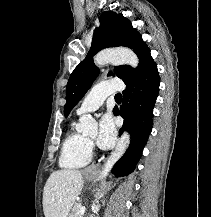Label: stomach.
I'll return each instance as SVG.
<instances>
[{"mask_svg":"<svg viewBox=\"0 0 211 217\" xmlns=\"http://www.w3.org/2000/svg\"><path fill=\"white\" fill-rule=\"evenodd\" d=\"M85 177L88 179V180H91L95 177V174L94 173H88L86 172L85 173Z\"/></svg>","mask_w":211,"mask_h":217,"instance_id":"stomach-1","label":"stomach"}]
</instances>
